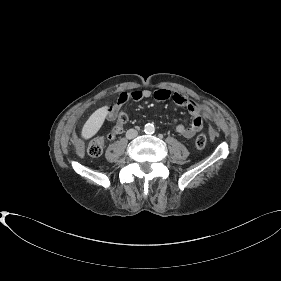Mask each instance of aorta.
Masks as SVG:
<instances>
[{
	"label": "aorta",
	"instance_id": "aorta-1",
	"mask_svg": "<svg viewBox=\"0 0 281 281\" xmlns=\"http://www.w3.org/2000/svg\"><path fill=\"white\" fill-rule=\"evenodd\" d=\"M155 131V127L153 124L151 123H147L145 126H144V132L146 134H153Z\"/></svg>",
	"mask_w": 281,
	"mask_h": 281
}]
</instances>
